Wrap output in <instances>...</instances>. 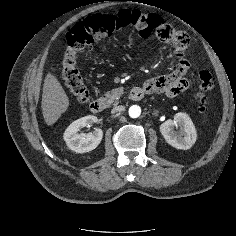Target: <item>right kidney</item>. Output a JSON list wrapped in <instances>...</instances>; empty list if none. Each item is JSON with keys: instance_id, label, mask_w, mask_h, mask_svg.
Masks as SVG:
<instances>
[{"instance_id": "1", "label": "right kidney", "mask_w": 236, "mask_h": 236, "mask_svg": "<svg viewBox=\"0 0 236 236\" xmlns=\"http://www.w3.org/2000/svg\"><path fill=\"white\" fill-rule=\"evenodd\" d=\"M98 118L93 115H88L72 122L65 130L63 139L66 145L76 153H86L94 150L101 142L103 132L101 129H95L87 135L78 133L84 127H90L97 123Z\"/></svg>"}]
</instances>
